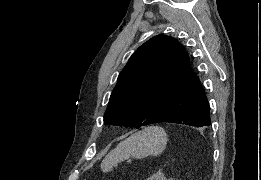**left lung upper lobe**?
Listing matches in <instances>:
<instances>
[{
  "instance_id": "1",
  "label": "left lung upper lobe",
  "mask_w": 261,
  "mask_h": 180,
  "mask_svg": "<svg viewBox=\"0 0 261 180\" xmlns=\"http://www.w3.org/2000/svg\"><path fill=\"white\" fill-rule=\"evenodd\" d=\"M193 72L177 40L157 35L140 46L119 74L104 120L140 128L168 106Z\"/></svg>"
}]
</instances>
